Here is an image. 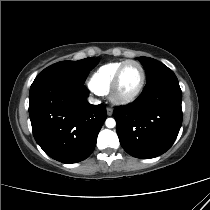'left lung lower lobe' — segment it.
<instances>
[{"label":"left lung lower lobe","mask_w":210,"mask_h":210,"mask_svg":"<svg viewBox=\"0 0 210 210\" xmlns=\"http://www.w3.org/2000/svg\"><path fill=\"white\" fill-rule=\"evenodd\" d=\"M182 91L173 71L147 81L131 104L113 111L117 134L124 150L136 158L149 159L165 153L182 124Z\"/></svg>","instance_id":"1"}]
</instances>
